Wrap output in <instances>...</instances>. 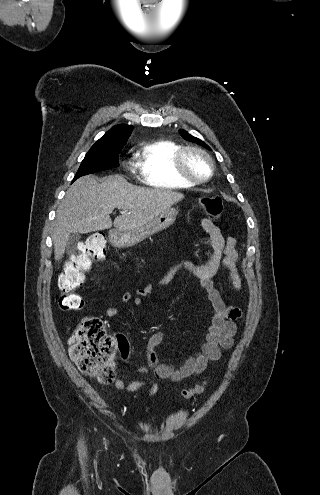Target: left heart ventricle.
<instances>
[{"label":"left heart ventricle","mask_w":320,"mask_h":495,"mask_svg":"<svg viewBox=\"0 0 320 495\" xmlns=\"http://www.w3.org/2000/svg\"><path fill=\"white\" fill-rule=\"evenodd\" d=\"M186 169L194 176L204 177L208 174L209 166L206 160L198 153H188L185 158Z\"/></svg>","instance_id":"b2bd125f"}]
</instances>
